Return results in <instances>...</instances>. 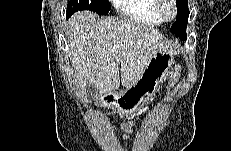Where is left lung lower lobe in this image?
<instances>
[{
	"label": "left lung lower lobe",
	"mask_w": 231,
	"mask_h": 151,
	"mask_svg": "<svg viewBox=\"0 0 231 151\" xmlns=\"http://www.w3.org/2000/svg\"><path fill=\"white\" fill-rule=\"evenodd\" d=\"M182 40H186V37H185V38H183Z\"/></svg>",
	"instance_id": "obj_1"
}]
</instances>
